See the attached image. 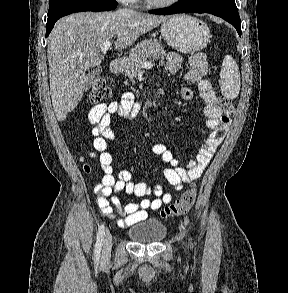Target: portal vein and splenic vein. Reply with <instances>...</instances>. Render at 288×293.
<instances>
[{"label": "portal vein and splenic vein", "instance_id": "1", "mask_svg": "<svg viewBox=\"0 0 288 293\" xmlns=\"http://www.w3.org/2000/svg\"><path fill=\"white\" fill-rule=\"evenodd\" d=\"M111 46V42L110 41H106L102 46H101V52L103 54H105L108 49L110 48ZM153 67V64L151 62H143L142 63V68H147V69H150Z\"/></svg>", "mask_w": 288, "mask_h": 293}]
</instances>
